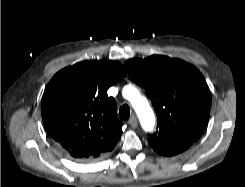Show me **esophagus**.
<instances>
[{"label": "esophagus", "instance_id": "34e87169", "mask_svg": "<svg viewBox=\"0 0 245 187\" xmlns=\"http://www.w3.org/2000/svg\"><path fill=\"white\" fill-rule=\"evenodd\" d=\"M129 125L132 127V128H136L138 126V120L135 116H132L129 121H128Z\"/></svg>", "mask_w": 245, "mask_h": 187}]
</instances>
